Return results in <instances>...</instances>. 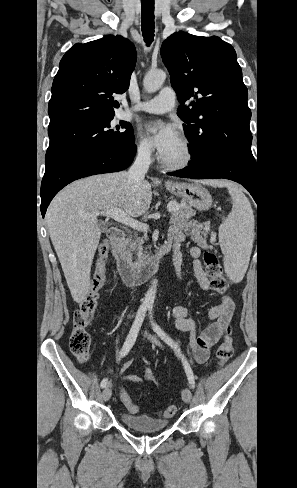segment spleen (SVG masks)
I'll use <instances>...</instances> for the list:
<instances>
[{
  "label": "spleen",
  "instance_id": "3e777b00",
  "mask_svg": "<svg viewBox=\"0 0 297 488\" xmlns=\"http://www.w3.org/2000/svg\"><path fill=\"white\" fill-rule=\"evenodd\" d=\"M233 206L219 227L224 268L232 282H240L248 268L254 239V214L249 200L236 185H228Z\"/></svg>",
  "mask_w": 297,
  "mask_h": 488
}]
</instances>
